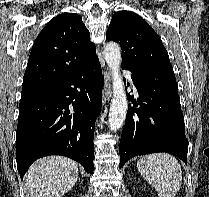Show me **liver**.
<instances>
[{
	"label": "liver",
	"instance_id": "obj_1",
	"mask_svg": "<svg viewBox=\"0 0 209 197\" xmlns=\"http://www.w3.org/2000/svg\"><path fill=\"white\" fill-rule=\"evenodd\" d=\"M78 179V164L63 156H48L34 162L25 178L30 197H62Z\"/></svg>",
	"mask_w": 209,
	"mask_h": 197
}]
</instances>
